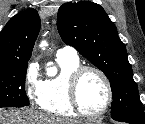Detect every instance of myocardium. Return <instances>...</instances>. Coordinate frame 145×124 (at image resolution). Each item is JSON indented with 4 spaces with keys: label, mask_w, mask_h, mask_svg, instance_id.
<instances>
[{
    "label": "myocardium",
    "mask_w": 145,
    "mask_h": 124,
    "mask_svg": "<svg viewBox=\"0 0 145 124\" xmlns=\"http://www.w3.org/2000/svg\"><path fill=\"white\" fill-rule=\"evenodd\" d=\"M89 72L97 74L103 81L107 90V101L104 107L96 113L86 112L80 103V96H79L80 83L83 77ZM68 92H69L70 103L73 109L76 111V113L84 118H89V119H96L102 117L112 105L113 98H114L110 79L101 69L94 66H80L77 69H75L69 76Z\"/></svg>",
    "instance_id": "f54148a6"
}]
</instances>
